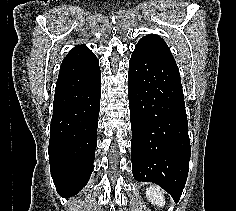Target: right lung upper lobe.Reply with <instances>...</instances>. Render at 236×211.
I'll return each instance as SVG.
<instances>
[{
    "label": "right lung upper lobe",
    "instance_id": "cb5924a9",
    "mask_svg": "<svg viewBox=\"0 0 236 211\" xmlns=\"http://www.w3.org/2000/svg\"><path fill=\"white\" fill-rule=\"evenodd\" d=\"M99 67L94 53L86 45H77L63 59L58 80L84 75Z\"/></svg>",
    "mask_w": 236,
    "mask_h": 211
}]
</instances>
